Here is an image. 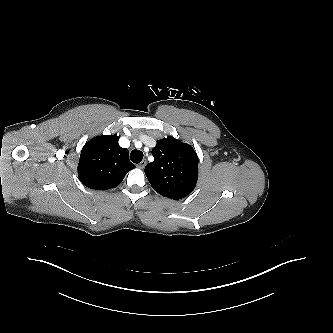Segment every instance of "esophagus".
<instances>
[{
	"label": "esophagus",
	"instance_id": "34e87169",
	"mask_svg": "<svg viewBox=\"0 0 333 333\" xmlns=\"http://www.w3.org/2000/svg\"><path fill=\"white\" fill-rule=\"evenodd\" d=\"M146 163V160H142L137 166L138 168L143 169L146 166Z\"/></svg>",
	"mask_w": 333,
	"mask_h": 333
}]
</instances>
